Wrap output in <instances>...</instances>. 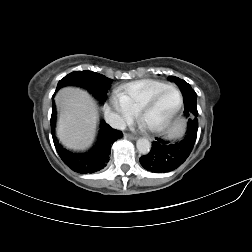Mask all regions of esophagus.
<instances>
[{
    "label": "esophagus",
    "instance_id": "34e87169",
    "mask_svg": "<svg viewBox=\"0 0 252 252\" xmlns=\"http://www.w3.org/2000/svg\"><path fill=\"white\" fill-rule=\"evenodd\" d=\"M124 137L127 138V139H129V140H136V137L133 136V135H131V134L125 133V134H124Z\"/></svg>",
    "mask_w": 252,
    "mask_h": 252
}]
</instances>
